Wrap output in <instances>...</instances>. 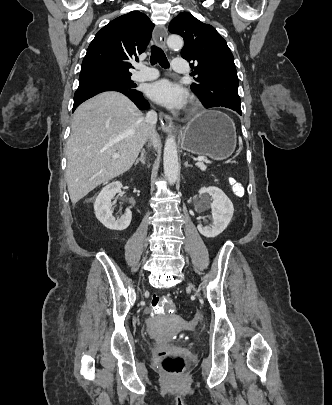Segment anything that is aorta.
<instances>
[{
	"label": "aorta",
	"mask_w": 332,
	"mask_h": 405,
	"mask_svg": "<svg viewBox=\"0 0 332 405\" xmlns=\"http://www.w3.org/2000/svg\"><path fill=\"white\" fill-rule=\"evenodd\" d=\"M167 45L172 50H180L183 47V39L178 35H171L167 39ZM164 174L170 185L175 184L179 176V162L177 146L174 136H168L163 152Z\"/></svg>",
	"instance_id": "aorta-1"
}]
</instances>
